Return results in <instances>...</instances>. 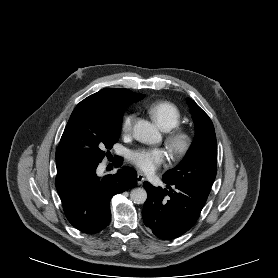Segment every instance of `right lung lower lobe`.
I'll list each match as a JSON object with an SVG mask.
<instances>
[{
  "instance_id": "right-lung-lower-lobe-1",
  "label": "right lung lower lobe",
  "mask_w": 278,
  "mask_h": 278,
  "mask_svg": "<svg viewBox=\"0 0 278 278\" xmlns=\"http://www.w3.org/2000/svg\"><path fill=\"white\" fill-rule=\"evenodd\" d=\"M113 161L115 167L123 163L121 157ZM97 166L58 170L56 176V189L68 221L88 234L103 230L110 222L112 196L133 188L137 183V173L133 168L123 167L117 174L101 179L96 175Z\"/></svg>"
}]
</instances>
